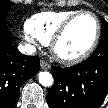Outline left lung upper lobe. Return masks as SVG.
Returning a JSON list of instances; mask_svg holds the SVG:
<instances>
[{
    "label": "left lung upper lobe",
    "mask_w": 108,
    "mask_h": 108,
    "mask_svg": "<svg viewBox=\"0 0 108 108\" xmlns=\"http://www.w3.org/2000/svg\"><path fill=\"white\" fill-rule=\"evenodd\" d=\"M97 48L108 49V23L104 19L102 24L101 41Z\"/></svg>",
    "instance_id": "1"
}]
</instances>
